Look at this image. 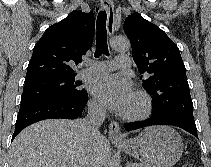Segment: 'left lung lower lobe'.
<instances>
[{
  "label": "left lung lower lobe",
  "mask_w": 211,
  "mask_h": 167,
  "mask_svg": "<svg viewBox=\"0 0 211 167\" xmlns=\"http://www.w3.org/2000/svg\"><path fill=\"white\" fill-rule=\"evenodd\" d=\"M152 125H174L180 127L187 132L198 138L197 128L193 119H189L183 116H165L156 117L152 116L144 121L130 122L125 125L127 131L152 126Z\"/></svg>",
  "instance_id": "1"
}]
</instances>
